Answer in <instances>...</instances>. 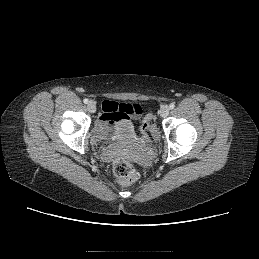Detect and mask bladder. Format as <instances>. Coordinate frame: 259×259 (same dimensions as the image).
Listing matches in <instances>:
<instances>
[{"mask_svg": "<svg viewBox=\"0 0 259 259\" xmlns=\"http://www.w3.org/2000/svg\"><path fill=\"white\" fill-rule=\"evenodd\" d=\"M129 134H130V131L125 130L123 127L118 128V136L119 137H127V136H129Z\"/></svg>", "mask_w": 259, "mask_h": 259, "instance_id": "bladder-1", "label": "bladder"}]
</instances>
